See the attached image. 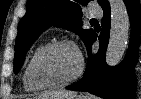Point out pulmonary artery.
<instances>
[{"instance_id": "1", "label": "pulmonary artery", "mask_w": 141, "mask_h": 99, "mask_svg": "<svg viewBox=\"0 0 141 99\" xmlns=\"http://www.w3.org/2000/svg\"><path fill=\"white\" fill-rule=\"evenodd\" d=\"M91 15L99 17L101 15V10L98 8H92L90 10Z\"/></svg>"}]
</instances>
